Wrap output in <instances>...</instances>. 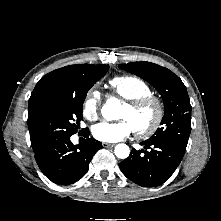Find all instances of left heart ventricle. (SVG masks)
Returning a JSON list of instances; mask_svg holds the SVG:
<instances>
[{
	"instance_id": "b2bd125f",
	"label": "left heart ventricle",
	"mask_w": 221,
	"mask_h": 221,
	"mask_svg": "<svg viewBox=\"0 0 221 221\" xmlns=\"http://www.w3.org/2000/svg\"><path fill=\"white\" fill-rule=\"evenodd\" d=\"M153 116L154 110L151 107L134 113L124 105L119 111V117L122 119H127L132 124L134 129L146 127L152 121Z\"/></svg>"
}]
</instances>
